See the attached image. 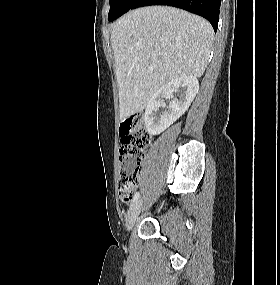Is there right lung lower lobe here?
<instances>
[{
	"label": "right lung lower lobe",
	"instance_id": "right-lung-lower-lobe-1",
	"mask_svg": "<svg viewBox=\"0 0 280 285\" xmlns=\"http://www.w3.org/2000/svg\"><path fill=\"white\" fill-rule=\"evenodd\" d=\"M221 0H137L132 9L150 5L181 8L206 18L217 31Z\"/></svg>",
	"mask_w": 280,
	"mask_h": 285
}]
</instances>
